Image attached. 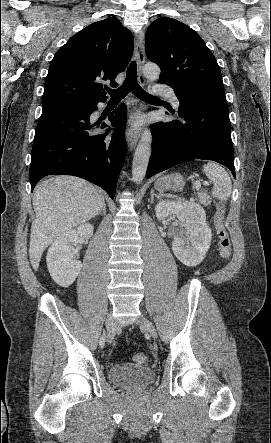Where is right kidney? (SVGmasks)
Segmentation results:
<instances>
[{
    "mask_svg": "<svg viewBox=\"0 0 271 443\" xmlns=\"http://www.w3.org/2000/svg\"><path fill=\"white\" fill-rule=\"evenodd\" d=\"M93 229L92 223H83L77 229L65 231L51 243L46 261L49 273L58 285L69 287L75 281L82 265L74 257L78 251L74 245H77L80 239L79 235L84 239L92 237Z\"/></svg>",
    "mask_w": 271,
    "mask_h": 443,
    "instance_id": "right-kidney-1",
    "label": "right kidney"
}]
</instances>
